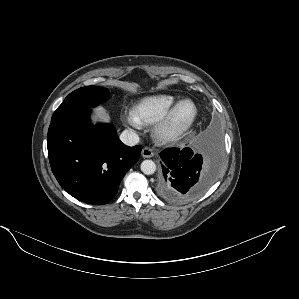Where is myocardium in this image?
<instances>
[{"label": "myocardium", "instance_id": "obj_1", "mask_svg": "<svg viewBox=\"0 0 299 299\" xmlns=\"http://www.w3.org/2000/svg\"><path fill=\"white\" fill-rule=\"evenodd\" d=\"M184 105H191L193 113L190 119L182 126H177L174 123V118L177 111ZM198 115L196 104L189 99L181 100L175 103L156 123L154 126L155 138L163 143L172 142L183 136L193 126Z\"/></svg>", "mask_w": 299, "mask_h": 299}]
</instances>
